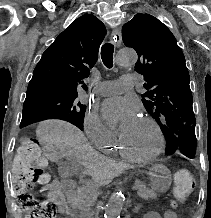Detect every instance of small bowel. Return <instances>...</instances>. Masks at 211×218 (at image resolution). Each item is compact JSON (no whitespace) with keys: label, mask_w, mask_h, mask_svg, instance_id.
<instances>
[{"label":"small bowel","mask_w":211,"mask_h":218,"mask_svg":"<svg viewBox=\"0 0 211 218\" xmlns=\"http://www.w3.org/2000/svg\"><path fill=\"white\" fill-rule=\"evenodd\" d=\"M43 191L46 192L47 200L54 204L61 214H66L70 216V218H74L67 207L63 190L60 187L59 181L54 180L48 183L44 187ZM144 218H176V214L172 211H165L163 215H161L158 212L152 211L147 213Z\"/></svg>","instance_id":"1"}]
</instances>
